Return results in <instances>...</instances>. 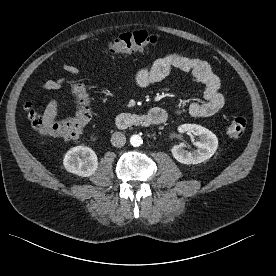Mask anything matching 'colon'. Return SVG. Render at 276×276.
<instances>
[{
    "label": "colon",
    "mask_w": 276,
    "mask_h": 276,
    "mask_svg": "<svg viewBox=\"0 0 276 276\" xmlns=\"http://www.w3.org/2000/svg\"><path fill=\"white\" fill-rule=\"evenodd\" d=\"M157 44L156 36L145 31L123 33L106 42L105 51L110 53L132 52L143 50ZM75 111L64 119L47 122L38 107L32 102L24 105L30 123L34 129L58 139L70 140L77 137L91 120L89 96L81 84L71 86ZM246 129L243 117L232 119L226 126V133L231 138H239Z\"/></svg>",
    "instance_id": "1"
}]
</instances>
